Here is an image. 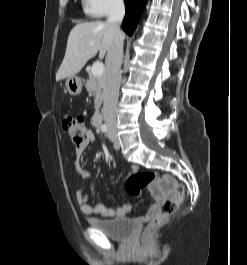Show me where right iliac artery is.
Wrapping results in <instances>:
<instances>
[{"mask_svg": "<svg viewBox=\"0 0 247 265\" xmlns=\"http://www.w3.org/2000/svg\"><path fill=\"white\" fill-rule=\"evenodd\" d=\"M101 130H102L103 132H106V131H107V126H106L105 124H103V125L101 126Z\"/></svg>", "mask_w": 247, "mask_h": 265, "instance_id": "obj_1", "label": "right iliac artery"}]
</instances>
